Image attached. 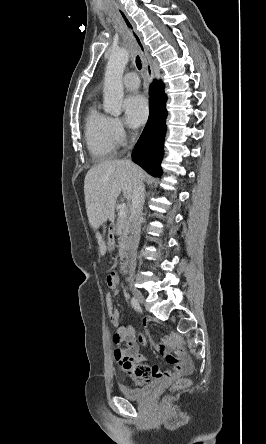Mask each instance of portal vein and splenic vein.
<instances>
[{
	"mask_svg": "<svg viewBox=\"0 0 266 444\" xmlns=\"http://www.w3.org/2000/svg\"><path fill=\"white\" fill-rule=\"evenodd\" d=\"M126 204L125 203H122L121 205H120V210H119V216L120 217H123V216H125L126 215Z\"/></svg>",
	"mask_w": 266,
	"mask_h": 444,
	"instance_id": "portal-vein-and-splenic-vein-1",
	"label": "portal vein and splenic vein"
}]
</instances>
